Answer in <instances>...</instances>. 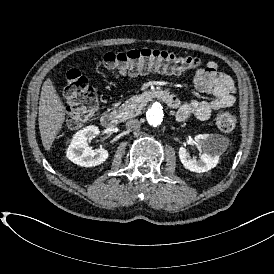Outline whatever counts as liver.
<instances>
[{
	"label": "liver",
	"instance_id": "liver-1",
	"mask_svg": "<svg viewBox=\"0 0 274 274\" xmlns=\"http://www.w3.org/2000/svg\"><path fill=\"white\" fill-rule=\"evenodd\" d=\"M66 120V107L56 90L54 80L46 78L39 100L38 124L42 145L50 151Z\"/></svg>",
	"mask_w": 274,
	"mask_h": 274
}]
</instances>
